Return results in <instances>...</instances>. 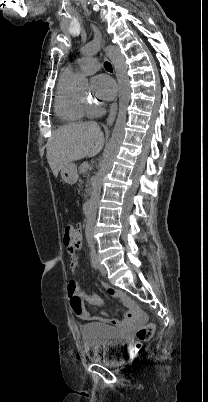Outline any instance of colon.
<instances>
[{"instance_id": "5ec220e1", "label": "colon", "mask_w": 208, "mask_h": 402, "mask_svg": "<svg viewBox=\"0 0 208 402\" xmlns=\"http://www.w3.org/2000/svg\"><path fill=\"white\" fill-rule=\"evenodd\" d=\"M76 224L73 221H66L63 224L62 227V238H63V244L64 245H69V244H73L75 242V237L77 235V229H76ZM71 306L73 311L77 314V315H81L83 314V307L84 302L81 299V297L79 296H73L71 297ZM154 330V327L152 324H143L142 327L139 329V331L137 332V337L140 340H147L150 338L152 332Z\"/></svg>"}]
</instances>
